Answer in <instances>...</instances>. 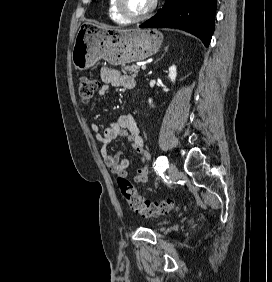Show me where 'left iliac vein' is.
Masks as SVG:
<instances>
[{"label": "left iliac vein", "instance_id": "1", "mask_svg": "<svg viewBox=\"0 0 272 282\" xmlns=\"http://www.w3.org/2000/svg\"><path fill=\"white\" fill-rule=\"evenodd\" d=\"M168 170L171 180H176L179 176V172L176 165L174 163H170Z\"/></svg>", "mask_w": 272, "mask_h": 282}]
</instances>
